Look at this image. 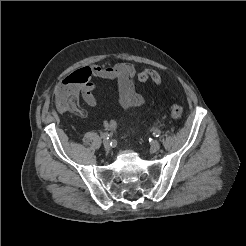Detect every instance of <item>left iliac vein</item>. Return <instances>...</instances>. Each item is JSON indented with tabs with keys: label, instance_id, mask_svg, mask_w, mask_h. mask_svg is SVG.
<instances>
[{
	"label": "left iliac vein",
	"instance_id": "left-iliac-vein-1",
	"mask_svg": "<svg viewBox=\"0 0 246 246\" xmlns=\"http://www.w3.org/2000/svg\"><path fill=\"white\" fill-rule=\"evenodd\" d=\"M160 149V143L158 141H154L151 144V151L152 152H157Z\"/></svg>",
	"mask_w": 246,
	"mask_h": 246
}]
</instances>
